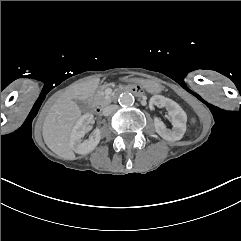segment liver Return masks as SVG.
<instances>
[{"mask_svg":"<svg viewBox=\"0 0 241 241\" xmlns=\"http://www.w3.org/2000/svg\"><path fill=\"white\" fill-rule=\"evenodd\" d=\"M99 82L100 78L79 82L66 90L51 106L43 124V138L48 148L58 156L68 160L75 159L70 135L74 124L82 115L77 101L93 97Z\"/></svg>","mask_w":241,"mask_h":241,"instance_id":"6515ba94","label":"liver"}]
</instances>
